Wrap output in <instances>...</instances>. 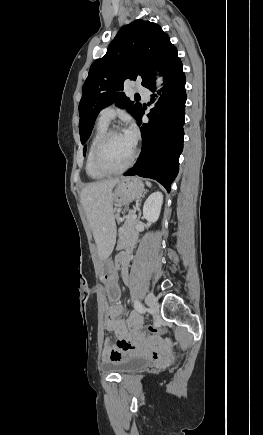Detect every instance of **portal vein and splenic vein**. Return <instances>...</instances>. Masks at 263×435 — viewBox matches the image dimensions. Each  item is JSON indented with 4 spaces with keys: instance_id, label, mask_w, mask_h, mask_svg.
Returning a JSON list of instances; mask_svg holds the SVG:
<instances>
[{
    "instance_id": "portal-vein-and-splenic-vein-1",
    "label": "portal vein and splenic vein",
    "mask_w": 263,
    "mask_h": 435,
    "mask_svg": "<svg viewBox=\"0 0 263 435\" xmlns=\"http://www.w3.org/2000/svg\"><path fill=\"white\" fill-rule=\"evenodd\" d=\"M135 218H136V215H135V214H133V215H132V219H135Z\"/></svg>"
}]
</instances>
